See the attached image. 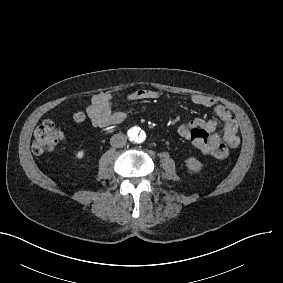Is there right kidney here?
I'll list each match as a JSON object with an SVG mask.
<instances>
[{
	"label": "right kidney",
	"instance_id": "1",
	"mask_svg": "<svg viewBox=\"0 0 283 283\" xmlns=\"http://www.w3.org/2000/svg\"><path fill=\"white\" fill-rule=\"evenodd\" d=\"M76 157L78 159H82L84 157V151L83 150H80L77 154H76Z\"/></svg>",
	"mask_w": 283,
	"mask_h": 283
}]
</instances>
